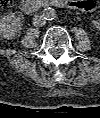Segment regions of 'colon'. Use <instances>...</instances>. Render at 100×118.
I'll return each instance as SVG.
<instances>
[{
	"label": "colon",
	"mask_w": 100,
	"mask_h": 118,
	"mask_svg": "<svg viewBox=\"0 0 100 118\" xmlns=\"http://www.w3.org/2000/svg\"><path fill=\"white\" fill-rule=\"evenodd\" d=\"M88 1L81 6H84L88 10H94L96 8V1L95 0H86ZM14 0H0V4L3 9L9 8L13 4Z\"/></svg>",
	"instance_id": "colon-1"
}]
</instances>
